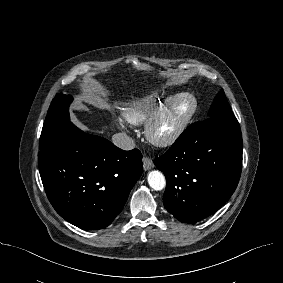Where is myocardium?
Segmentation results:
<instances>
[{
	"label": "myocardium",
	"instance_id": "f54148a6",
	"mask_svg": "<svg viewBox=\"0 0 283 283\" xmlns=\"http://www.w3.org/2000/svg\"><path fill=\"white\" fill-rule=\"evenodd\" d=\"M185 104L186 109L177 120L172 129L164 135L158 134L161 122L178 105ZM197 110L196 98L189 93H181L172 96L163 103L153 114L150 115L145 124L144 133L147 140L158 147L172 145L187 129Z\"/></svg>",
	"mask_w": 283,
	"mask_h": 283
}]
</instances>
